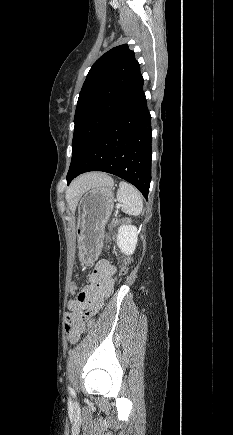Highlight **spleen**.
<instances>
[{
	"label": "spleen",
	"mask_w": 233,
	"mask_h": 435,
	"mask_svg": "<svg viewBox=\"0 0 233 435\" xmlns=\"http://www.w3.org/2000/svg\"><path fill=\"white\" fill-rule=\"evenodd\" d=\"M117 201L122 204V211L129 215H140L143 211L141 193L133 185L120 182L117 191Z\"/></svg>",
	"instance_id": "3e777b00"
}]
</instances>
